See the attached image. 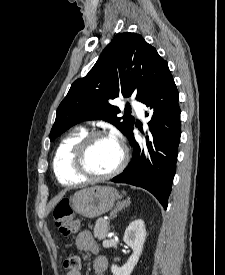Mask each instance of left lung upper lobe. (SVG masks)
Returning a JSON list of instances; mask_svg holds the SVG:
<instances>
[{
    "label": "left lung upper lobe",
    "instance_id": "1",
    "mask_svg": "<svg viewBox=\"0 0 225 275\" xmlns=\"http://www.w3.org/2000/svg\"><path fill=\"white\" fill-rule=\"evenodd\" d=\"M125 66H134L133 71L124 72ZM168 69L167 62L141 35L130 32L116 35L90 72L71 85L57 109L50 141L74 124L94 119H104L126 135L135 120L127 113L118 117L120 110L110 101L132 94L141 101Z\"/></svg>",
    "mask_w": 225,
    "mask_h": 275
}]
</instances>
